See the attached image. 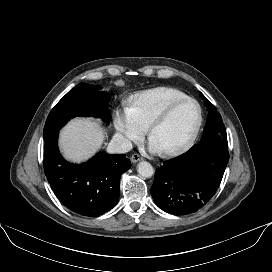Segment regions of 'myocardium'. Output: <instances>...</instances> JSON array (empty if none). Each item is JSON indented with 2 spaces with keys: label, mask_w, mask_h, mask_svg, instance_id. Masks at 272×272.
Instances as JSON below:
<instances>
[{
  "label": "myocardium",
  "mask_w": 272,
  "mask_h": 272,
  "mask_svg": "<svg viewBox=\"0 0 272 272\" xmlns=\"http://www.w3.org/2000/svg\"><path fill=\"white\" fill-rule=\"evenodd\" d=\"M186 102H192L197 106V109H198L197 122L195 124V127H194L192 133L190 134L188 139L183 144H181L180 146L173 148V149L161 151V153L165 156L180 155V154L186 152L195 142V140L200 132L202 123H203V110H202L200 103L196 99L189 97V96H186V97H183L180 99H176V100L172 101L171 103H169L163 110H161L154 117V119L151 121V123L148 126V136L151 138L154 130L160 124H162L179 105L186 103Z\"/></svg>",
  "instance_id": "obj_1"
}]
</instances>
